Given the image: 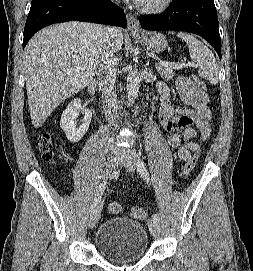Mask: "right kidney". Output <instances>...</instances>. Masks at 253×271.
Wrapping results in <instances>:
<instances>
[{
	"instance_id": "ca27d5eb",
	"label": "right kidney",
	"mask_w": 253,
	"mask_h": 271,
	"mask_svg": "<svg viewBox=\"0 0 253 271\" xmlns=\"http://www.w3.org/2000/svg\"><path fill=\"white\" fill-rule=\"evenodd\" d=\"M79 113H83L84 118L82 124L77 127L76 118ZM91 119L92 112L89 109L82 107L80 99H74L63 111L60 127L65 132L66 137L70 142H78L87 132Z\"/></svg>"
}]
</instances>
